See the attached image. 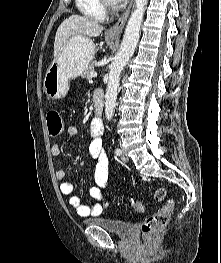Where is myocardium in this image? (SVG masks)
I'll return each mask as SVG.
<instances>
[{
  "instance_id": "myocardium-1",
  "label": "myocardium",
  "mask_w": 221,
  "mask_h": 263,
  "mask_svg": "<svg viewBox=\"0 0 221 263\" xmlns=\"http://www.w3.org/2000/svg\"><path fill=\"white\" fill-rule=\"evenodd\" d=\"M105 7L112 6V0H100Z\"/></svg>"
}]
</instances>
